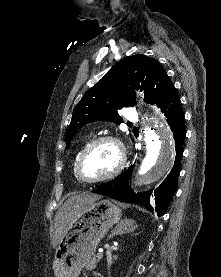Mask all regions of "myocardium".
I'll return each instance as SVG.
<instances>
[{"label": "myocardium", "mask_w": 221, "mask_h": 277, "mask_svg": "<svg viewBox=\"0 0 221 277\" xmlns=\"http://www.w3.org/2000/svg\"><path fill=\"white\" fill-rule=\"evenodd\" d=\"M105 142L112 143L118 151V163L116 167L109 173L98 178L89 179L84 177L81 173V164L84 157L97 145ZM125 163H126V151L123 143L117 137H114L111 135L100 136L90 141L79 153L74 166L75 176L79 181L83 183L92 184V183L103 182L118 175L121 172V170L124 168Z\"/></svg>", "instance_id": "myocardium-1"}]
</instances>
